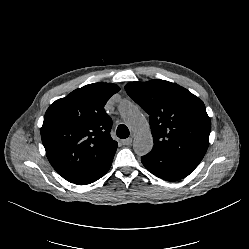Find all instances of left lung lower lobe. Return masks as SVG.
<instances>
[{"mask_svg": "<svg viewBox=\"0 0 249 249\" xmlns=\"http://www.w3.org/2000/svg\"><path fill=\"white\" fill-rule=\"evenodd\" d=\"M141 161L148 171L167 181H177L188 176L198 165L159 152H150Z\"/></svg>", "mask_w": 249, "mask_h": 249, "instance_id": "obj_1", "label": "left lung lower lobe"}]
</instances>
